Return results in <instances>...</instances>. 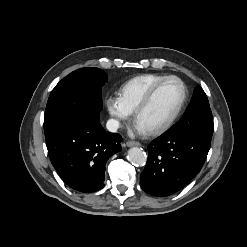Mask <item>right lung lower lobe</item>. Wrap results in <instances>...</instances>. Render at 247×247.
Listing matches in <instances>:
<instances>
[{"mask_svg": "<svg viewBox=\"0 0 247 247\" xmlns=\"http://www.w3.org/2000/svg\"><path fill=\"white\" fill-rule=\"evenodd\" d=\"M52 165L63 181L83 193L104 187L105 165L121 151V136L103 129L99 119L73 122L45 133Z\"/></svg>", "mask_w": 247, "mask_h": 247, "instance_id": "1", "label": "right lung lower lobe"}]
</instances>
